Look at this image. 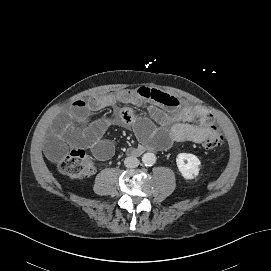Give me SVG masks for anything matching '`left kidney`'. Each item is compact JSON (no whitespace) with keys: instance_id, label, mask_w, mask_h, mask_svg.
Instances as JSON below:
<instances>
[{"instance_id":"5707ae66","label":"left kidney","mask_w":271,"mask_h":271,"mask_svg":"<svg viewBox=\"0 0 271 271\" xmlns=\"http://www.w3.org/2000/svg\"><path fill=\"white\" fill-rule=\"evenodd\" d=\"M177 167L185 179H193L199 174L201 164L197 156L191 153H180L176 158Z\"/></svg>"}]
</instances>
